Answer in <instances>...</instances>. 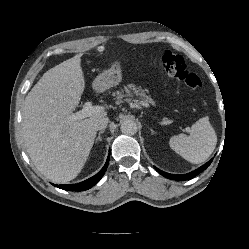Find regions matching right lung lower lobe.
Returning <instances> with one entry per match:
<instances>
[{"label":"right lung lower lobe","instance_id":"98d812e1","mask_svg":"<svg viewBox=\"0 0 249 249\" xmlns=\"http://www.w3.org/2000/svg\"><path fill=\"white\" fill-rule=\"evenodd\" d=\"M110 156V154H109ZM109 156L107 158V161L104 165V167L101 169L100 172H98L95 176L81 182L78 184H70V185H54L60 189L63 190H69V191H84V190H88L91 187H93L105 174V171L107 169L108 163H109Z\"/></svg>","mask_w":249,"mask_h":249}]
</instances>
